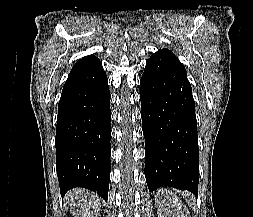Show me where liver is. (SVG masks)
Listing matches in <instances>:
<instances>
[{"label": "liver", "instance_id": "liver-1", "mask_svg": "<svg viewBox=\"0 0 253 217\" xmlns=\"http://www.w3.org/2000/svg\"><path fill=\"white\" fill-rule=\"evenodd\" d=\"M64 199L78 217H95V213L99 211V196L83 188H74L67 192Z\"/></svg>", "mask_w": 253, "mask_h": 217}]
</instances>
